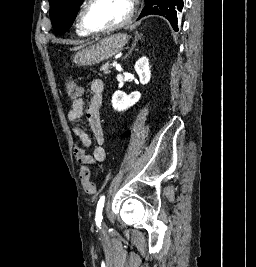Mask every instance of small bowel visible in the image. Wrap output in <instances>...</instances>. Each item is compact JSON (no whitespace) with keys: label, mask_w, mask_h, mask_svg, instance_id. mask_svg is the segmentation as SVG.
<instances>
[{"label":"small bowel","mask_w":256,"mask_h":267,"mask_svg":"<svg viewBox=\"0 0 256 267\" xmlns=\"http://www.w3.org/2000/svg\"><path fill=\"white\" fill-rule=\"evenodd\" d=\"M89 88L91 94L87 103L85 104L82 98L73 100L71 110L68 113V120L71 124L72 133L77 138L74 154L76 160L80 164L99 163L107 158V152L103 145L104 135L100 120V108L104 89L103 80L100 78L92 79ZM83 117L87 118L93 136L97 142L92 154L87 153V150L92 146L91 137L85 130L78 126L77 122H75V119L80 120Z\"/></svg>","instance_id":"small-bowel-1"}]
</instances>
